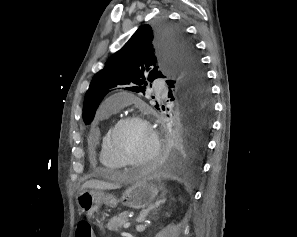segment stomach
<instances>
[{
  "instance_id": "obj_1",
  "label": "stomach",
  "mask_w": 297,
  "mask_h": 237,
  "mask_svg": "<svg viewBox=\"0 0 297 237\" xmlns=\"http://www.w3.org/2000/svg\"><path fill=\"white\" fill-rule=\"evenodd\" d=\"M162 187L146 180H139L129 186L121 197V201L127 207L140 209L152 204ZM119 200L103 191L85 189L77 197V205L82 213L91 216L104 203L110 207H116Z\"/></svg>"
}]
</instances>
